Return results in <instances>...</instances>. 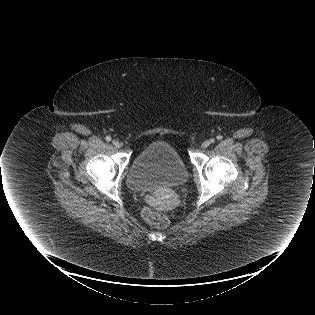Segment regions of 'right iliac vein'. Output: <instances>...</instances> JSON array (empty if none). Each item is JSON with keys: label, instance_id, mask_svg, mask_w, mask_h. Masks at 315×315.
Listing matches in <instances>:
<instances>
[{"label": "right iliac vein", "instance_id": "1", "mask_svg": "<svg viewBox=\"0 0 315 315\" xmlns=\"http://www.w3.org/2000/svg\"><path fill=\"white\" fill-rule=\"evenodd\" d=\"M112 144L116 147V148H120L121 147V143L117 140H113Z\"/></svg>", "mask_w": 315, "mask_h": 315}]
</instances>
